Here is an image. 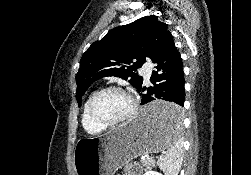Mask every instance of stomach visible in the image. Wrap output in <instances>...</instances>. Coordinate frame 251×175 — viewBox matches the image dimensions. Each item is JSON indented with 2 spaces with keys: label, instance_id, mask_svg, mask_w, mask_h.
Segmentation results:
<instances>
[{
  "label": "stomach",
  "instance_id": "0dacf381",
  "mask_svg": "<svg viewBox=\"0 0 251 175\" xmlns=\"http://www.w3.org/2000/svg\"><path fill=\"white\" fill-rule=\"evenodd\" d=\"M171 100H150V105L142 107L137 117L111 129L104 135H84L78 139L73 151V165L76 175H114L136 155L156 154L171 147V141L182 134L178 106L171 105Z\"/></svg>",
  "mask_w": 251,
  "mask_h": 175
}]
</instances>
